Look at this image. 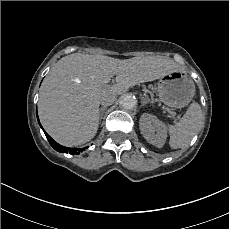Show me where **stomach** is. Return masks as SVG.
<instances>
[{"label": "stomach", "mask_w": 229, "mask_h": 229, "mask_svg": "<svg viewBox=\"0 0 229 229\" xmlns=\"http://www.w3.org/2000/svg\"><path fill=\"white\" fill-rule=\"evenodd\" d=\"M157 95L169 107L183 108L195 95V84L186 71L174 70L157 83Z\"/></svg>", "instance_id": "0dacf381"}]
</instances>
